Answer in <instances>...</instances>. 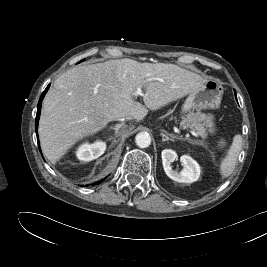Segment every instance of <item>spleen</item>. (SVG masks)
Instances as JSON below:
<instances>
[{"mask_svg": "<svg viewBox=\"0 0 267 267\" xmlns=\"http://www.w3.org/2000/svg\"><path fill=\"white\" fill-rule=\"evenodd\" d=\"M242 147V136L237 134L233 137V142L220 165L222 179L228 178L234 171L237 157Z\"/></svg>", "mask_w": 267, "mask_h": 267, "instance_id": "1", "label": "spleen"}]
</instances>
